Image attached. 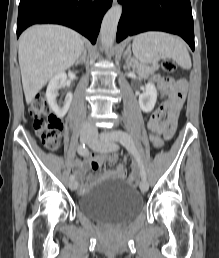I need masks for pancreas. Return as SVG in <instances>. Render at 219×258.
<instances>
[{
  "mask_svg": "<svg viewBox=\"0 0 219 258\" xmlns=\"http://www.w3.org/2000/svg\"><path fill=\"white\" fill-rule=\"evenodd\" d=\"M133 69H135L138 73H154L155 71H157L159 69V65L158 64H153L151 66H147L141 63H138L136 61H133V65H132Z\"/></svg>",
  "mask_w": 219,
  "mask_h": 258,
  "instance_id": "cf45deb5",
  "label": "pancreas"
}]
</instances>
